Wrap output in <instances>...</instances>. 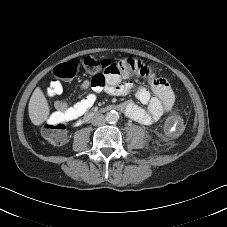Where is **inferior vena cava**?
Returning a JSON list of instances; mask_svg holds the SVG:
<instances>
[{
	"instance_id": "602c4592",
	"label": "inferior vena cava",
	"mask_w": 227,
	"mask_h": 227,
	"mask_svg": "<svg viewBox=\"0 0 227 227\" xmlns=\"http://www.w3.org/2000/svg\"><path fill=\"white\" fill-rule=\"evenodd\" d=\"M105 121H106V119H105L104 115L101 113H97L91 118V123L94 126L103 125L105 123Z\"/></svg>"
}]
</instances>
